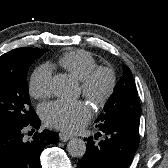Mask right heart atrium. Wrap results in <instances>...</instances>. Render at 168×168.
I'll list each match as a JSON object with an SVG mask.
<instances>
[{
	"instance_id": "d8ad5b80",
	"label": "right heart atrium",
	"mask_w": 168,
	"mask_h": 168,
	"mask_svg": "<svg viewBox=\"0 0 168 168\" xmlns=\"http://www.w3.org/2000/svg\"><path fill=\"white\" fill-rule=\"evenodd\" d=\"M52 72L49 66L42 65L32 74L29 81L30 95L36 99H44L51 95Z\"/></svg>"
}]
</instances>
